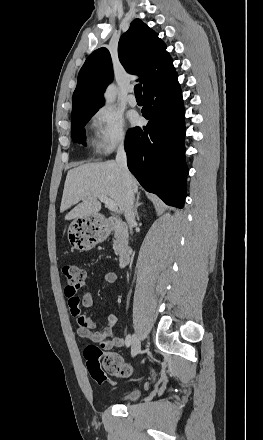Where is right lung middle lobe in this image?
I'll return each instance as SVG.
<instances>
[{
	"label": "right lung middle lobe",
	"instance_id": "1",
	"mask_svg": "<svg viewBox=\"0 0 263 440\" xmlns=\"http://www.w3.org/2000/svg\"><path fill=\"white\" fill-rule=\"evenodd\" d=\"M95 113L96 111H92L72 117L71 135L73 142L85 144L84 126Z\"/></svg>",
	"mask_w": 263,
	"mask_h": 440
}]
</instances>
